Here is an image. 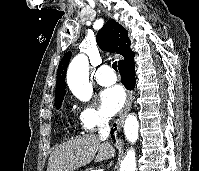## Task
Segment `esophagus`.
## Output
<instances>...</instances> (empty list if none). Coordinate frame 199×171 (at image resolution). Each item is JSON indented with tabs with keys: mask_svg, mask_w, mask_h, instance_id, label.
I'll use <instances>...</instances> for the list:
<instances>
[{
	"mask_svg": "<svg viewBox=\"0 0 199 171\" xmlns=\"http://www.w3.org/2000/svg\"><path fill=\"white\" fill-rule=\"evenodd\" d=\"M132 102H133V92L130 91V92H128L127 100H126L125 106L123 108V111H122L120 117L117 120V129H118L119 132H121V130H122L125 118L130 111ZM117 143L122 144L123 139L121 137H119L118 140H117Z\"/></svg>",
	"mask_w": 199,
	"mask_h": 171,
	"instance_id": "1",
	"label": "esophagus"
}]
</instances>
